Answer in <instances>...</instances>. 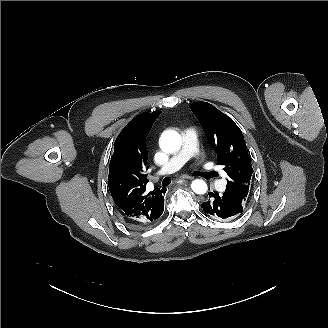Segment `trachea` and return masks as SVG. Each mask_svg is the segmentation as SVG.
I'll use <instances>...</instances> for the list:
<instances>
[{"label": "trachea", "mask_w": 328, "mask_h": 328, "mask_svg": "<svg viewBox=\"0 0 328 328\" xmlns=\"http://www.w3.org/2000/svg\"><path fill=\"white\" fill-rule=\"evenodd\" d=\"M170 183H171V179H170L169 177H165V178L163 179L162 185H163L164 187H166V186H168Z\"/></svg>", "instance_id": "3493384b"}]
</instances>
